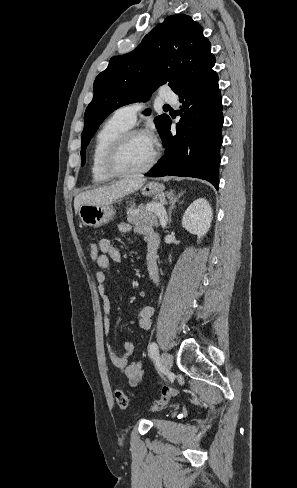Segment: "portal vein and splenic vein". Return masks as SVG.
<instances>
[{
  "instance_id": "obj_1",
  "label": "portal vein and splenic vein",
  "mask_w": 297,
  "mask_h": 488,
  "mask_svg": "<svg viewBox=\"0 0 297 488\" xmlns=\"http://www.w3.org/2000/svg\"><path fill=\"white\" fill-rule=\"evenodd\" d=\"M153 209L156 210L157 214L159 215V220L161 225H164V206L162 203L155 204Z\"/></svg>"
}]
</instances>
